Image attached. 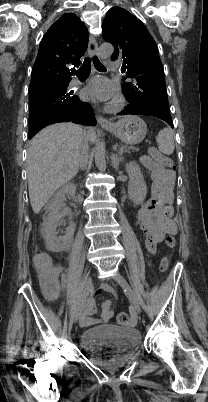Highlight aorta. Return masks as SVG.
Returning a JSON list of instances; mask_svg holds the SVG:
<instances>
[{
    "label": "aorta",
    "instance_id": "obj_1",
    "mask_svg": "<svg viewBox=\"0 0 208 402\" xmlns=\"http://www.w3.org/2000/svg\"><path fill=\"white\" fill-rule=\"evenodd\" d=\"M112 54L113 46H109V44H101L100 48H98L97 56L101 58V60H108ZM94 158L97 168L103 171L106 168L105 148L103 144H97L94 150Z\"/></svg>",
    "mask_w": 208,
    "mask_h": 402
}]
</instances>
